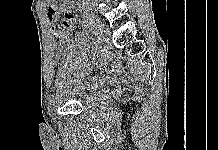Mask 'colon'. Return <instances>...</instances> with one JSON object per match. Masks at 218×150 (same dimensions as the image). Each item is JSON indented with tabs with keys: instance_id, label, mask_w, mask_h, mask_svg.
<instances>
[{
	"instance_id": "colon-1",
	"label": "colon",
	"mask_w": 218,
	"mask_h": 150,
	"mask_svg": "<svg viewBox=\"0 0 218 150\" xmlns=\"http://www.w3.org/2000/svg\"><path fill=\"white\" fill-rule=\"evenodd\" d=\"M73 34V29H67L61 31L59 34L55 36V39L58 43H63L71 38Z\"/></svg>"
}]
</instances>
